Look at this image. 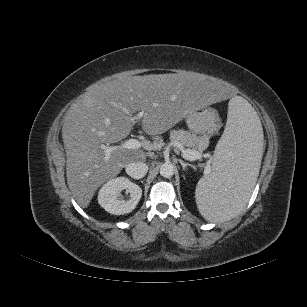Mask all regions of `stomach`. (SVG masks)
Instances as JSON below:
<instances>
[{
    "label": "stomach",
    "mask_w": 307,
    "mask_h": 307,
    "mask_svg": "<svg viewBox=\"0 0 307 307\" xmlns=\"http://www.w3.org/2000/svg\"><path fill=\"white\" fill-rule=\"evenodd\" d=\"M185 121L190 131L206 135L217 132L221 124L217 111L208 107L190 112Z\"/></svg>",
    "instance_id": "stomach-1"
}]
</instances>
